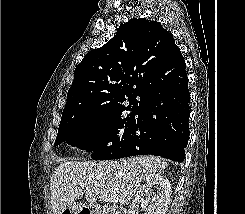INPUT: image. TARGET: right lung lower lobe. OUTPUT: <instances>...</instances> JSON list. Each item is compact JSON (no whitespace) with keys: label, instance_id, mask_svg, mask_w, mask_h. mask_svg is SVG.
<instances>
[{"label":"right lung lower lobe","instance_id":"right-lung-lower-lobe-1","mask_svg":"<svg viewBox=\"0 0 245 214\" xmlns=\"http://www.w3.org/2000/svg\"><path fill=\"white\" fill-rule=\"evenodd\" d=\"M160 85L135 109L127 142L115 151L113 159L156 155L177 162L184 160L189 139L188 78L174 86L167 82Z\"/></svg>","mask_w":245,"mask_h":214}]
</instances>
